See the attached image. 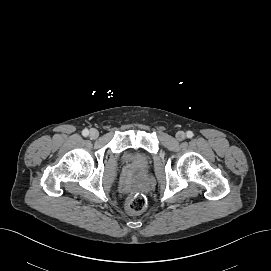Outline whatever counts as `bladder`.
<instances>
[{
	"mask_svg": "<svg viewBox=\"0 0 271 271\" xmlns=\"http://www.w3.org/2000/svg\"><path fill=\"white\" fill-rule=\"evenodd\" d=\"M124 161L138 172H143L150 164V156L139 150L127 151L123 156Z\"/></svg>",
	"mask_w": 271,
	"mask_h": 271,
	"instance_id": "obj_1",
	"label": "bladder"
}]
</instances>
